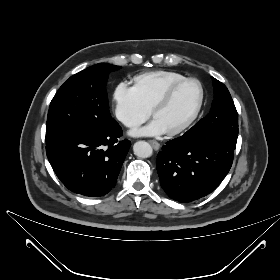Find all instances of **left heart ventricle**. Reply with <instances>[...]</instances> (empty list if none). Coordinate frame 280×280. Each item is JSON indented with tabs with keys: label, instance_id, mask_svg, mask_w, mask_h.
<instances>
[{
	"label": "left heart ventricle",
	"instance_id": "obj_1",
	"mask_svg": "<svg viewBox=\"0 0 280 280\" xmlns=\"http://www.w3.org/2000/svg\"><path fill=\"white\" fill-rule=\"evenodd\" d=\"M199 98V88L195 83H186L178 87L169 102L158 109L154 119L164 131L182 125L192 114Z\"/></svg>",
	"mask_w": 280,
	"mask_h": 280
}]
</instances>
